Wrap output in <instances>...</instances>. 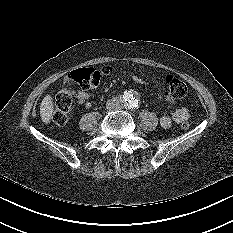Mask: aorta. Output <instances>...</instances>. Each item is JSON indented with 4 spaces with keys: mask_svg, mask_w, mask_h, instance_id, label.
Masks as SVG:
<instances>
[{
    "mask_svg": "<svg viewBox=\"0 0 233 233\" xmlns=\"http://www.w3.org/2000/svg\"><path fill=\"white\" fill-rule=\"evenodd\" d=\"M125 98L128 99V107L135 108L138 106V100L135 97H133V94L126 92Z\"/></svg>",
    "mask_w": 233,
    "mask_h": 233,
    "instance_id": "aorta-1",
    "label": "aorta"
}]
</instances>
